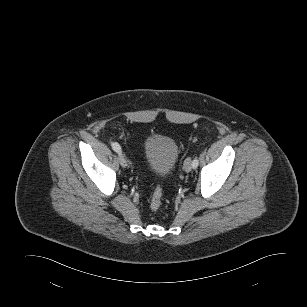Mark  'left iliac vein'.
Listing matches in <instances>:
<instances>
[{
  "instance_id": "1",
  "label": "left iliac vein",
  "mask_w": 307,
  "mask_h": 307,
  "mask_svg": "<svg viewBox=\"0 0 307 307\" xmlns=\"http://www.w3.org/2000/svg\"><path fill=\"white\" fill-rule=\"evenodd\" d=\"M184 170L186 172H190L192 170V163H191V159L187 158L184 162V166H183Z\"/></svg>"
}]
</instances>
